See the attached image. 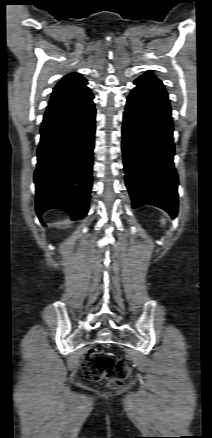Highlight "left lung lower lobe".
<instances>
[{"mask_svg": "<svg viewBox=\"0 0 212 438\" xmlns=\"http://www.w3.org/2000/svg\"><path fill=\"white\" fill-rule=\"evenodd\" d=\"M127 98L122 152L132 208L153 205L171 216L178 211V176L173 164V121L160 80L140 76Z\"/></svg>", "mask_w": 212, "mask_h": 438, "instance_id": "obj_1", "label": "left lung lower lobe"}]
</instances>
